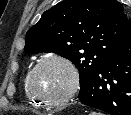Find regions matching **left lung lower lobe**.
<instances>
[{
	"label": "left lung lower lobe",
	"mask_w": 131,
	"mask_h": 115,
	"mask_svg": "<svg viewBox=\"0 0 131 115\" xmlns=\"http://www.w3.org/2000/svg\"><path fill=\"white\" fill-rule=\"evenodd\" d=\"M79 101L111 115H131V33L79 93Z\"/></svg>",
	"instance_id": "0a47b994"
}]
</instances>
